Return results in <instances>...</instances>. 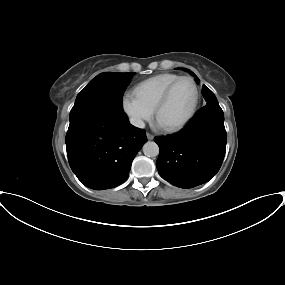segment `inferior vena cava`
<instances>
[{
  "instance_id": "obj_1",
  "label": "inferior vena cava",
  "mask_w": 285,
  "mask_h": 285,
  "mask_svg": "<svg viewBox=\"0 0 285 285\" xmlns=\"http://www.w3.org/2000/svg\"><path fill=\"white\" fill-rule=\"evenodd\" d=\"M130 123L138 128H144L145 123L139 118H131Z\"/></svg>"
}]
</instances>
